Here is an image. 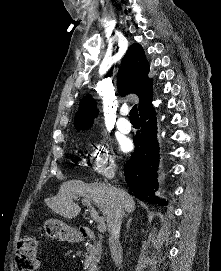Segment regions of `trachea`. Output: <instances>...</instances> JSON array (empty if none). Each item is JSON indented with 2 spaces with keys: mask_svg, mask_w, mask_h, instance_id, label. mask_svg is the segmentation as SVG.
<instances>
[{
  "mask_svg": "<svg viewBox=\"0 0 221 271\" xmlns=\"http://www.w3.org/2000/svg\"><path fill=\"white\" fill-rule=\"evenodd\" d=\"M130 121H139V115H138V108L137 105H134L132 109L130 110Z\"/></svg>",
  "mask_w": 221,
  "mask_h": 271,
  "instance_id": "trachea-1",
  "label": "trachea"
}]
</instances>
